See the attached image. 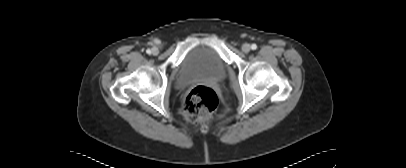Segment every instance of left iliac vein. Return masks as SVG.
I'll list each match as a JSON object with an SVG mask.
<instances>
[{
  "instance_id": "4c4485c4",
  "label": "left iliac vein",
  "mask_w": 406,
  "mask_h": 168,
  "mask_svg": "<svg viewBox=\"0 0 406 168\" xmlns=\"http://www.w3.org/2000/svg\"><path fill=\"white\" fill-rule=\"evenodd\" d=\"M250 50H251V46L248 43H245L242 45V51L244 53H248V52H250Z\"/></svg>"
}]
</instances>
